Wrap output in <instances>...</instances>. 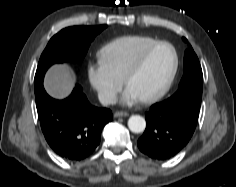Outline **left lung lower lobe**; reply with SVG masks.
I'll use <instances>...</instances> for the list:
<instances>
[{"instance_id": "left-lung-lower-lobe-1", "label": "left lung lower lobe", "mask_w": 236, "mask_h": 187, "mask_svg": "<svg viewBox=\"0 0 236 187\" xmlns=\"http://www.w3.org/2000/svg\"><path fill=\"white\" fill-rule=\"evenodd\" d=\"M200 107L187 102L164 101L151 106L146 129L138 140L142 153L156 160L169 159L186 146L195 130Z\"/></svg>"}]
</instances>
